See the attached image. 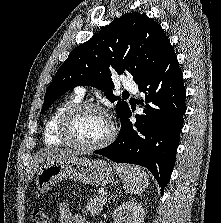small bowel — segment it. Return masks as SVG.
<instances>
[{
    "label": "small bowel",
    "instance_id": "c3829d8e",
    "mask_svg": "<svg viewBox=\"0 0 221 223\" xmlns=\"http://www.w3.org/2000/svg\"><path fill=\"white\" fill-rule=\"evenodd\" d=\"M57 213L60 223H89L84 217L73 215L67 203L59 204Z\"/></svg>",
    "mask_w": 221,
    "mask_h": 223
}]
</instances>
